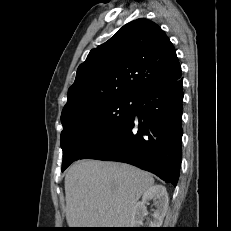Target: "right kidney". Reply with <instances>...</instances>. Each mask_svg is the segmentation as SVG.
Masks as SVG:
<instances>
[{
	"label": "right kidney",
	"mask_w": 231,
	"mask_h": 231,
	"mask_svg": "<svg viewBox=\"0 0 231 231\" xmlns=\"http://www.w3.org/2000/svg\"><path fill=\"white\" fill-rule=\"evenodd\" d=\"M150 200H153L156 210L152 214L149 227H161L168 209L169 198L164 186L154 185L143 194L142 201L135 205L131 215V228H140L143 225V220L147 215L146 203Z\"/></svg>",
	"instance_id": "1"
}]
</instances>
